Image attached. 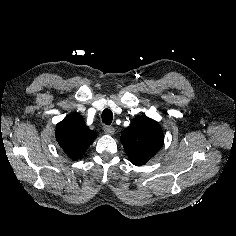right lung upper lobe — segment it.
<instances>
[{
	"label": "right lung upper lobe",
	"instance_id": "obj_1",
	"mask_svg": "<svg viewBox=\"0 0 236 236\" xmlns=\"http://www.w3.org/2000/svg\"><path fill=\"white\" fill-rule=\"evenodd\" d=\"M96 136L78 113L68 115L56 125V140L72 160L81 158Z\"/></svg>",
	"mask_w": 236,
	"mask_h": 236
}]
</instances>
